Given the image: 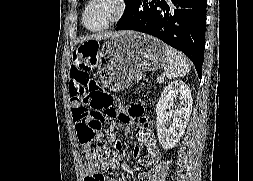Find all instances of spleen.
Instances as JSON below:
<instances>
[{
  "instance_id": "spleen-1",
  "label": "spleen",
  "mask_w": 253,
  "mask_h": 181,
  "mask_svg": "<svg viewBox=\"0 0 253 181\" xmlns=\"http://www.w3.org/2000/svg\"><path fill=\"white\" fill-rule=\"evenodd\" d=\"M165 74L169 79L182 77L189 73L190 62L180 52L166 45L165 47Z\"/></svg>"
}]
</instances>
